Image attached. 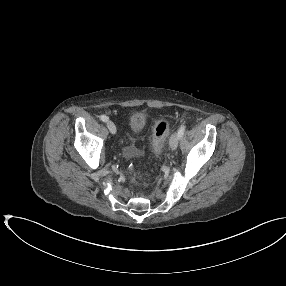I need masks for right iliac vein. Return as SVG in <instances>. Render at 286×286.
I'll list each match as a JSON object with an SVG mask.
<instances>
[{
  "mask_svg": "<svg viewBox=\"0 0 286 286\" xmlns=\"http://www.w3.org/2000/svg\"><path fill=\"white\" fill-rule=\"evenodd\" d=\"M107 127L112 134L116 133V126L112 121H107Z\"/></svg>",
  "mask_w": 286,
  "mask_h": 286,
  "instance_id": "63e3f726",
  "label": "right iliac vein"
}]
</instances>
